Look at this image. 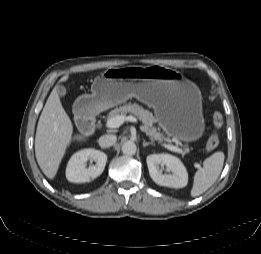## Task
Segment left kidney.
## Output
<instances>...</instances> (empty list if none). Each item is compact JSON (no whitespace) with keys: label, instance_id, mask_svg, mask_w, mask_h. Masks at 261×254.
<instances>
[{"label":"left kidney","instance_id":"1","mask_svg":"<svg viewBox=\"0 0 261 254\" xmlns=\"http://www.w3.org/2000/svg\"><path fill=\"white\" fill-rule=\"evenodd\" d=\"M152 180L160 185L171 188H183L188 183V173L181 160L170 154H151L146 158ZM160 166H166L168 174H163Z\"/></svg>","mask_w":261,"mask_h":254}]
</instances>
